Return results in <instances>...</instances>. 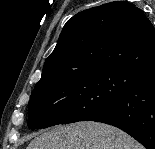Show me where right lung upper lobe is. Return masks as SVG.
Listing matches in <instances>:
<instances>
[{
  "label": "right lung upper lobe",
  "mask_w": 155,
  "mask_h": 149,
  "mask_svg": "<svg viewBox=\"0 0 155 149\" xmlns=\"http://www.w3.org/2000/svg\"><path fill=\"white\" fill-rule=\"evenodd\" d=\"M113 69L155 73V29L141 9L125 1L93 7L69 19L40 81Z\"/></svg>",
  "instance_id": "1"
}]
</instances>
